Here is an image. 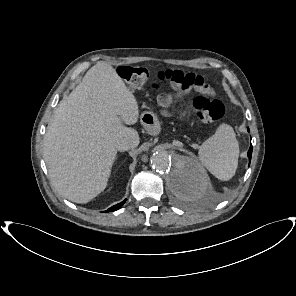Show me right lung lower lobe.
<instances>
[{"mask_svg": "<svg viewBox=\"0 0 296 296\" xmlns=\"http://www.w3.org/2000/svg\"><path fill=\"white\" fill-rule=\"evenodd\" d=\"M125 202H126V200L122 201L121 203H119L115 206H112L106 212H109V211L112 212V211H116V210L120 209Z\"/></svg>", "mask_w": 296, "mask_h": 296, "instance_id": "right-lung-lower-lobe-1", "label": "right lung lower lobe"}]
</instances>
